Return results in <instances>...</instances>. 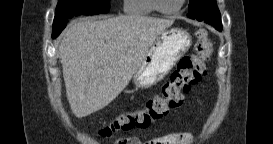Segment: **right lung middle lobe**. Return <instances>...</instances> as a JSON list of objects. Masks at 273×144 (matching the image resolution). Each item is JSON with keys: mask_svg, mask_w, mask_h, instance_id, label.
<instances>
[{"mask_svg": "<svg viewBox=\"0 0 273 144\" xmlns=\"http://www.w3.org/2000/svg\"><path fill=\"white\" fill-rule=\"evenodd\" d=\"M109 0H58L53 22L52 38H56L66 27L67 20L78 15L107 13Z\"/></svg>", "mask_w": 273, "mask_h": 144, "instance_id": "right-lung-middle-lobe-1", "label": "right lung middle lobe"}]
</instances>
